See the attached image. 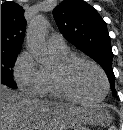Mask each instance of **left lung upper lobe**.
Segmentation results:
<instances>
[{"label":"left lung upper lobe","instance_id":"5c2ea615","mask_svg":"<svg viewBox=\"0 0 123 130\" xmlns=\"http://www.w3.org/2000/svg\"><path fill=\"white\" fill-rule=\"evenodd\" d=\"M53 16L64 37L104 69L116 96L111 39L97 10L83 0H64L53 10Z\"/></svg>","mask_w":123,"mask_h":130}]
</instances>
